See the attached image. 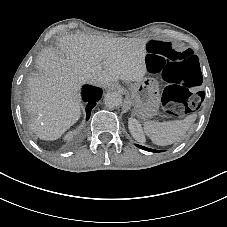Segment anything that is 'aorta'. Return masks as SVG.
I'll use <instances>...</instances> for the list:
<instances>
[{"mask_svg":"<svg viewBox=\"0 0 227 227\" xmlns=\"http://www.w3.org/2000/svg\"><path fill=\"white\" fill-rule=\"evenodd\" d=\"M105 105L109 108H115L122 104V95L117 91L107 92L104 97Z\"/></svg>","mask_w":227,"mask_h":227,"instance_id":"obj_1","label":"aorta"}]
</instances>
